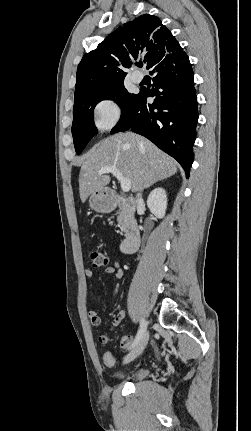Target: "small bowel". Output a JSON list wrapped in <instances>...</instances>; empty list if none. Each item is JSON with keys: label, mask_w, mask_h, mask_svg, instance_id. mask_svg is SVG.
<instances>
[{"label": "small bowel", "mask_w": 251, "mask_h": 431, "mask_svg": "<svg viewBox=\"0 0 251 431\" xmlns=\"http://www.w3.org/2000/svg\"><path fill=\"white\" fill-rule=\"evenodd\" d=\"M104 271L106 274L113 275L116 279H121L124 276V271L120 267L118 262H114L113 265L106 266ZM84 274L87 278H91L93 277L94 273L92 269L87 268L84 270ZM118 288H119V284H116L114 288V294L118 292ZM88 318H89L90 324L93 327L100 326L101 318L95 310L88 311ZM124 318H125V311L121 309L113 318L110 329L106 333L99 336L98 340L101 344L107 345L108 343H110L111 332L121 323V321Z\"/></svg>", "instance_id": "obj_1"}]
</instances>
